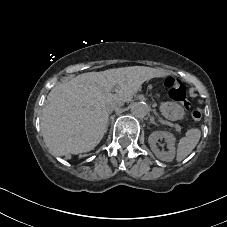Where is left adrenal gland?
I'll list each match as a JSON object with an SVG mask.
<instances>
[{"label":"left adrenal gland","mask_w":227,"mask_h":227,"mask_svg":"<svg viewBox=\"0 0 227 227\" xmlns=\"http://www.w3.org/2000/svg\"><path fill=\"white\" fill-rule=\"evenodd\" d=\"M150 122H151L152 124L158 126V124H157V123L155 122V120H154V117H151V118H150Z\"/></svg>","instance_id":"1"}]
</instances>
